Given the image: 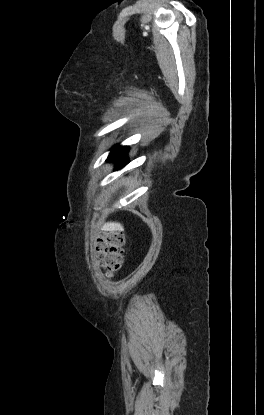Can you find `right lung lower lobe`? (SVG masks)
<instances>
[{"label": "right lung lower lobe", "instance_id": "obj_1", "mask_svg": "<svg viewBox=\"0 0 264 415\" xmlns=\"http://www.w3.org/2000/svg\"><path fill=\"white\" fill-rule=\"evenodd\" d=\"M128 151L127 146H116L111 150V153L109 154L108 161H119V164L117 165L116 169H121L123 166H125L126 162L123 160L125 154Z\"/></svg>", "mask_w": 264, "mask_h": 415}]
</instances>
